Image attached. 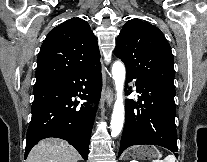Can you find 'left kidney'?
<instances>
[{
	"instance_id": "5707ae66",
	"label": "left kidney",
	"mask_w": 207,
	"mask_h": 162,
	"mask_svg": "<svg viewBox=\"0 0 207 162\" xmlns=\"http://www.w3.org/2000/svg\"><path fill=\"white\" fill-rule=\"evenodd\" d=\"M130 162H138V161L133 160V161H130Z\"/></svg>"
}]
</instances>
